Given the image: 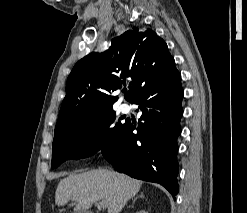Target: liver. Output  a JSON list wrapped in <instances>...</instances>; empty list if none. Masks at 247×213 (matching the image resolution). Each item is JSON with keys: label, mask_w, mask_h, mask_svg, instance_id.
Listing matches in <instances>:
<instances>
[{"label": "liver", "mask_w": 247, "mask_h": 213, "mask_svg": "<svg viewBox=\"0 0 247 213\" xmlns=\"http://www.w3.org/2000/svg\"><path fill=\"white\" fill-rule=\"evenodd\" d=\"M141 185L140 180L112 170H91L60 180L55 203L64 206L71 200L77 203L76 210H85L98 201H105L108 213H119L127 201L138 193Z\"/></svg>", "instance_id": "1"}]
</instances>
